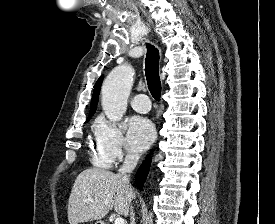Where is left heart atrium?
Segmentation results:
<instances>
[{
	"label": "left heart atrium",
	"instance_id": "39dd6f15",
	"mask_svg": "<svg viewBox=\"0 0 275 224\" xmlns=\"http://www.w3.org/2000/svg\"><path fill=\"white\" fill-rule=\"evenodd\" d=\"M155 137V128L152 122L144 117L133 118L128 127V142L135 151H144Z\"/></svg>",
	"mask_w": 275,
	"mask_h": 224
}]
</instances>
